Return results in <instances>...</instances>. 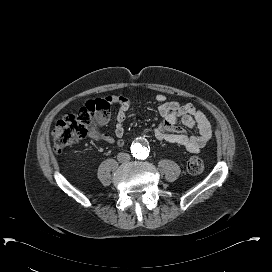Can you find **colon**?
<instances>
[{
  "label": "colon",
  "mask_w": 272,
  "mask_h": 272,
  "mask_svg": "<svg viewBox=\"0 0 272 272\" xmlns=\"http://www.w3.org/2000/svg\"><path fill=\"white\" fill-rule=\"evenodd\" d=\"M111 102L106 98L88 101L77 112L65 115L53 129V150L60 153L85 138L90 126L95 123H106L110 116ZM186 169L192 175L201 174L204 170L203 160L198 156L188 159Z\"/></svg>",
  "instance_id": "obj_1"
}]
</instances>
